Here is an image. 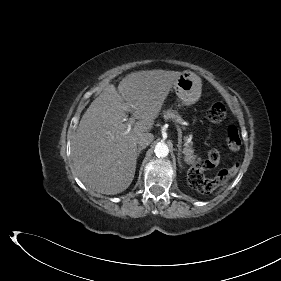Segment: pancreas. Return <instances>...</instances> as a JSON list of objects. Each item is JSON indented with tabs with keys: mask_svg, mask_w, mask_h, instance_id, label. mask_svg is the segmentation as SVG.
I'll use <instances>...</instances> for the list:
<instances>
[{
	"mask_svg": "<svg viewBox=\"0 0 281 281\" xmlns=\"http://www.w3.org/2000/svg\"><path fill=\"white\" fill-rule=\"evenodd\" d=\"M163 117L165 120H172L173 122L182 124L184 120L182 117L174 110L168 109L163 112ZM188 137H185L184 140L187 141ZM193 143L190 142L185 145L183 154L185 155V161L187 164L191 165L192 168H195L199 163L197 156L194 154V149L192 147Z\"/></svg>",
	"mask_w": 281,
	"mask_h": 281,
	"instance_id": "cf45deb5",
	"label": "pancreas"
}]
</instances>
